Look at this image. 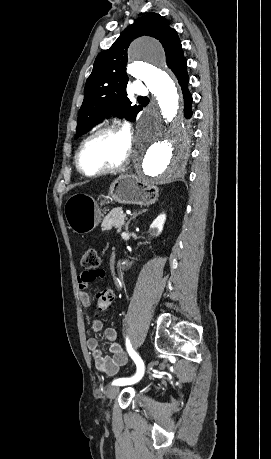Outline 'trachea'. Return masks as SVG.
<instances>
[{
  "label": "trachea",
  "mask_w": 271,
  "mask_h": 459,
  "mask_svg": "<svg viewBox=\"0 0 271 459\" xmlns=\"http://www.w3.org/2000/svg\"><path fill=\"white\" fill-rule=\"evenodd\" d=\"M144 98H146V97H141V99H144Z\"/></svg>",
  "instance_id": "1"
}]
</instances>
